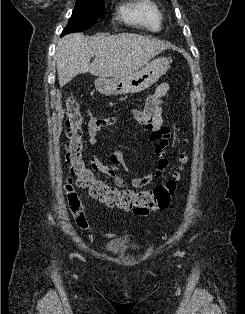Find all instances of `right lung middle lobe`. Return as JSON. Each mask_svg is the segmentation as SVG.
<instances>
[{"instance_id": "obj_1", "label": "right lung middle lobe", "mask_w": 245, "mask_h": 314, "mask_svg": "<svg viewBox=\"0 0 245 314\" xmlns=\"http://www.w3.org/2000/svg\"><path fill=\"white\" fill-rule=\"evenodd\" d=\"M103 13V0H77L72 16L62 35L89 28L103 16Z\"/></svg>"}]
</instances>
